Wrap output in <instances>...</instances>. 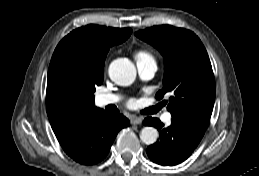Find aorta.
Segmentation results:
<instances>
[{"mask_svg": "<svg viewBox=\"0 0 259 176\" xmlns=\"http://www.w3.org/2000/svg\"><path fill=\"white\" fill-rule=\"evenodd\" d=\"M110 79L118 85L128 86L136 78L135 65L126 58H118L111 62L108 69ZM159 133L154 127H144L140 132V139L147 145L154 144L158 139Z\"/></svg>", "mask_w": 259, "mask_h": 176, "instance_id": "762f6f07", "label": "aorta"}]
</instances>
